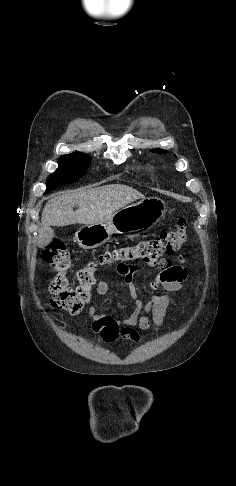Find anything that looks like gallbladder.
Segmentation results:
<instances>
[{
  "mask_svg": "<svg viewBox=\"0 0 236 486\" xmlns=\"http://www.w3.org/2000/svg\"><path fill=\"white\" fill-rule=\"evenodd\" d=\"M54 236V231L52 228L47 227V228H42L39 232V237H38V246L39 247H45L50 243Z\"/></svg>",
  "mask_w": 236,
  "mask_h": 486,
  "instance_id": "1",
  "label": "gallbladder"
}]
</instances>
